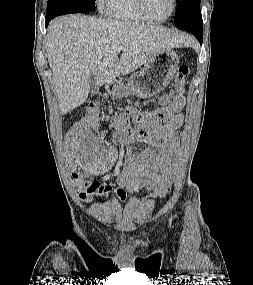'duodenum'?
Masks as SVG:
<instances>
[{
	"label": "duodenum",
	"mask_w": 253,
	"mask_h": 285,
	"mask_svg": "<svg viewBox=\"0 0 253 285\" xmlns=\"http://www.w3.org/2000/svg\"><path fill=\"white\" fill-rule=\"evenodd\" d=\"M107 88L109 91L113 92L116 90V85L114 83H108Z\"/></svg>",
	"instance_id": "1"
}]
</instances>
